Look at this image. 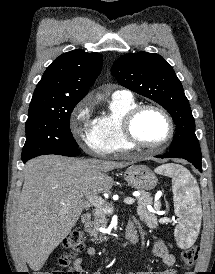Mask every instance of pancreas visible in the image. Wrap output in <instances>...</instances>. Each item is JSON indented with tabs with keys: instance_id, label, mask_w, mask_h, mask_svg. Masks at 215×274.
<instances>
[{
	"instance_id": "cf45deb5",
	"label": "pancreas",
	"mask_w": 215,
	"mask_h": 274,
	"mask_svg": "<svg viewBox=\"0 0 215 274\" xmlns=\"http://www.w3.org/2000/svg\"><path fill=\"white\" fill-rule=\"evenodd\" d=\"M153 199L151 194L148 192H140V196L137 198V214L140 219L143 220L151 227H155L157 225L156 216L149 211L148 207L152 204ZM155 209H160V203L156 202L154 204ZM107 215L104 211L100 209H96L93 213V221H89L85 224V230L91 236V240L95 243H101L103 241H107L108 238L103 236L100 233L101 227H106L107 225Z\"/></svg>"
}]
</instances>
